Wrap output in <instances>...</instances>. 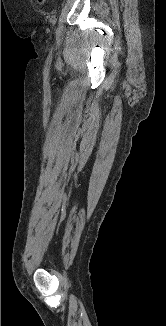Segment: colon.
<instances>
[{
  "mask_svg": "<svg viewBox=\"0 0 166 326\" xmlns=\"http://www.w3.org/2000/svg\"><path fill=\"white\" fill-rule=\"evenodd\" d=\"M40 5H44L46 3V0H37Z\"/></svg>",
  "mask_w": 166,
  "mask_h": 326,
  "instance_id": "1",
  "label": "colon"
}]
</instances>
